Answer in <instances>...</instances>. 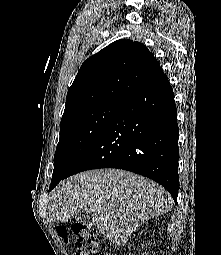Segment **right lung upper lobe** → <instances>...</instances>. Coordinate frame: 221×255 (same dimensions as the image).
I'll return each instance as SVG.
<instances>
[{"instance_id":"cb5924a9","label":"right lung upper lobe","mask_w":221,"mask_h":255,"mask_svg":"<svg viewBox=\"0 0 221 255\" xmlns=\"http://www.w3.org/2000/svg\"><path fill=\"white\" fill-rule=\"evenodd\" d=\"M162 74L146 46L117 40L82 64L68 90L62 119L93 106L121 104Z\"/></svg>"}]
</instances>
